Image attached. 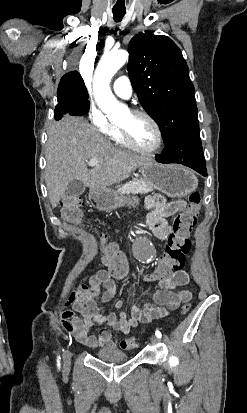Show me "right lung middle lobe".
<instances>
[{
	"label": "right lung middle lobe",
	"mask_w": 247,
	"mask_h": 413,
	"mask_svg": "<svg viewBox=\"0 0 247 413\" xmlns=\"http://www.w3.org/2000/svg\"><path fill=\"white\" fill-rule=\"evenodd\" d=\"M58 101H67L78 107L82 115L89 111L88 92L83 80L63 81L57 90Z\"/></svg>",
	"instance_id": "obj_1"
}]
</instances>
